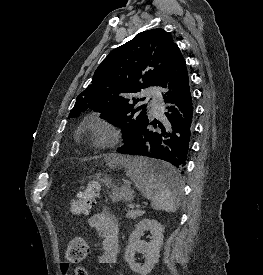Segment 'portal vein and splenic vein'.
<instances>
[{
    "mask_svg": "<svg viewBox=\"0 0 263 275\" xmlns=\"http://www.w3.org/2000/svg\"><path fill=\"white\" fill-rule=\"evenodd\" d=\"M144 204H145V205H147L148 203H147V202H145Z\"/></svg>",
    "mask_w": 263,
    "mask_h": 275,
    "instance_id": "portal-vein-and-splenic-vein-1",
    "label": "portal vein and splenic vein"
}]
</instances>
